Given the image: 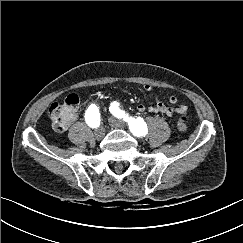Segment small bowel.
I'll return each mask as SVG.
<instances>
[{
	"label": "small bowel",
	"mask_w": 243,
	"mask_h": 243,
	"mask_svg": "<svg viewBox=\"0 0 243 243\" xmlns=\"http://www.w3.org/2000/svg\"><path fill=\"white\" fill-rule=\"evenodd\" d=\"M144 90L147 92L152 91V87L150 85H145ZM156 103L153 106L147 107L144 104H139L137 109L139 112H150L154 114H164L168 117H173L175 114H186L188 111V107L184 104H178V98L175 95H170L168 98L171 106L165 105L162 101L158 99L156 96Z\"/></svg>",
	"instance_id": "obj_1"
}]
</instances>
